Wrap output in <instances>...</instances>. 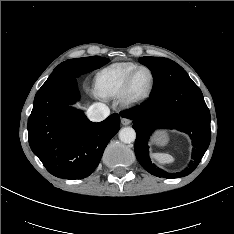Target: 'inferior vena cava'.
<instances>
[{"instance_id": "inferior-vena-cava-1", "label": "inferior vena cava", "mask_w": 234, "mask_h": 234, "mask_svg": "<svg viewBox=\"0 0 234 234\" xmlns=\"http://www.w3.org/2000/svg\"><path fill=\"white\" fill-rule=\"evenodd\" d=\"M110 114V110L104 103H94L87 111L88 118L93 122H100L106 119Z\"/></svg>"}]
</instances>
